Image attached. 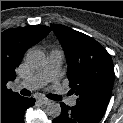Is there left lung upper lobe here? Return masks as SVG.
Segmentation results:
<instances>
[{
    "mask_svg": "<svg viewBox=\"0 0 123 123\" xmlns=\"http://www.w3.org/2000/svg\"><path fill=\"white\" fill-rule=\"evenodd\" d=\"M68 61L71 91L78 95L76 107L103 116L114 84L110 54L93 38L67 26L52 24Z\"/></svg>",
    "mask_w": 123,
    "mask_h": 123,
    "instance_id": "5c2ea615",
    "label": "left lung upper lobe"
}]
</instances>
